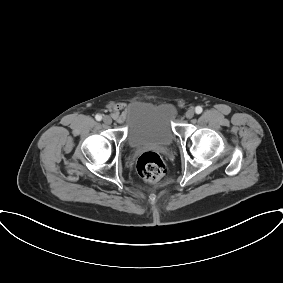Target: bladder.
Returning <instances> with one entry per match:
<instances>
[{
	"mask_svg": "<svg viewBox=\"0 0 283 283\" xmlns=\"http://www.w3.org/2000/svg\"><path fill=\"white\" fill-rule=\"evenodd\" d=\"M177 111L169 102H134L127 112L126 140L130 147H166L173 143Z\"/></svg>",
	"mask_w": 283,
	"mask_h": 283,
	"instance_id": "31cf9c89",
	"label": "bladder"
}]
</instances>
